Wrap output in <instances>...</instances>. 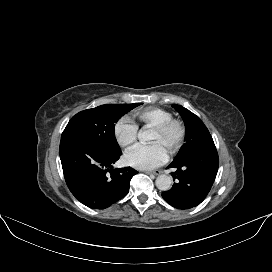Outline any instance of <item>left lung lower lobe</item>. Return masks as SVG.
I'll list each match as a JSON object with an SVG mask.
<instances>
[{
  "label": "left lung lower lobe",
  "mask_w": 272,
  "mask_h": 272,
  "mask_svg": "<svg viewBox=\"0 0 272 272\" xmlns=\"http://www.w3.org/2000/svg\"><path fill=\"white\" fill-rule=\"evenodd\" d=\"M219 158L215 145L195 151L173 161L167 168H175L173 187L162 193L163 199L178 209L199 205L209 193L218 171Z\"/></svg>",
  "instance_id": "1"
}]
</instances>
